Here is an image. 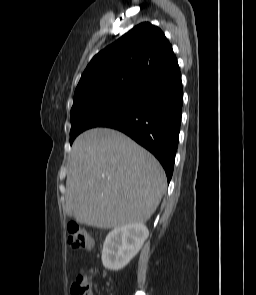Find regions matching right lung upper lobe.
I'll return each mask as SVG.
<instances>
[{
	"mask_svg": "<svg viewBox=\"0 0 256 295\" xmlns=\"http://www.w3.org/2000/svg\"><path fill=\"white\" fill-rule=\"evenodd\" d=\"M174 58L161 29L141 23L93 57L81 76L74 101L91 103L136 92Z\"/></svg>",
	"mask_w": 256,
	"mask_h": 295,
	"instance_id": "1",
	"label": "right lung upper lobe"
}]
</instances>
